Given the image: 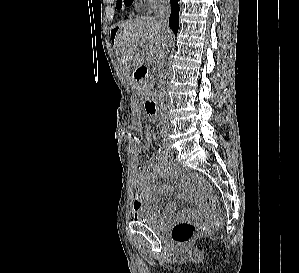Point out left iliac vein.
Segmentation results:
<instances>
[{
  "instance_id": "obj_1",
  "label": "left iliac vein",
  "mask_w": 299,
  "mask_h": 273,
  "mask_svg": "<svg viewBox=\"0 0 299 273\" xmlns=\"http://www.w3.org/2000/svg\"><path fill=\"white\" fill-rule=\"evenodd\" d=\"M167 149L170 150V147L168 146Z\"/></svg>"
}]
</instances>
